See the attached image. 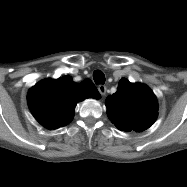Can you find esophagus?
Wrapping results in <instances>:
<instances>
[{
    "instance_id": "1",
    "label": "esophagus",
    "mask_w": 187,
    "mask_h": 187,
    "mask_svg": "<svg viewBox=\"0 0 187 187\" xmlns=\"http://www.w3.org/2000/svg\"><path fill=\"white\" fill-rule=\"evenodd\" d=\"M98 91L103 96L106 93V86L103 84L98 85Z\"/></svg>"
}]
</instances>
